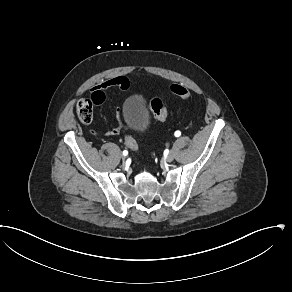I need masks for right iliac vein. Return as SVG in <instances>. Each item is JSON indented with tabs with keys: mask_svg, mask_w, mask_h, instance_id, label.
<instances>
[{
	"mask_svg": "<svg viewBox=\"0 0 292 292\" xmlns=\"http://www.w3.org/2000/svg\"><path fill=\"white\" fill-rule=\"evenodd\" d=\"M122 159H125V156L124 155H122Z\"/></svg>",
	"mask_w": 292,
	"mask_h": 292,
	"instance_id": "right-iliac-vein-1",
	"label": "right iliac vein"
}]
</instances>
